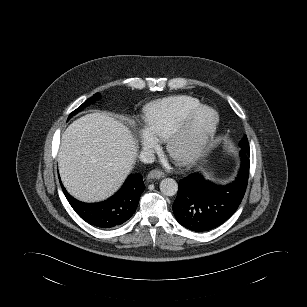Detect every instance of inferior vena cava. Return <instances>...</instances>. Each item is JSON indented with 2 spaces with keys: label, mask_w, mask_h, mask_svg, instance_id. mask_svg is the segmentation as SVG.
<instances>
[{
  "label": "inferior vena cava",
  "mask_w": 307,
  "mask_h": 307,
  "mask_svg": "<svg viewBox=\"0 0 307 307\" xmlns=\"http://www.w3.org/2000/svg\"><path fill=\"white\" fill-rule=\"evenodd\" d=\"M139 160L145 164H150L154 162L155 156L151 151H141Z\"/></svg>",
  "instance_id": "inferior-vena-cava-1"
}]
</instances>
